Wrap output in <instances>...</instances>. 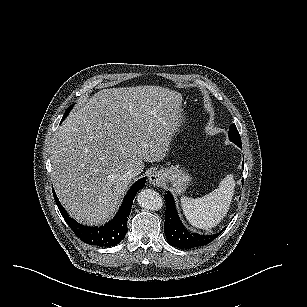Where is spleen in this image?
<instances>
[{
  "label": "spleen",
  "instance_id": "spleen-1",
  "mask_svg": "<svg viewBox=\"0 0 307 307\" xmlns=\"http://www.w3.org/2000/svg\"><path fill=\"white\" fill-rule=\"evenodd\" d=\"M234 173L224 176L220 188L200 199L181 198V209L188 223L200 230L216 228L228 214L235 194Z\"/></svg>",
  "mask_w": 307,
  "mask_h": 307
}]
</instances>
